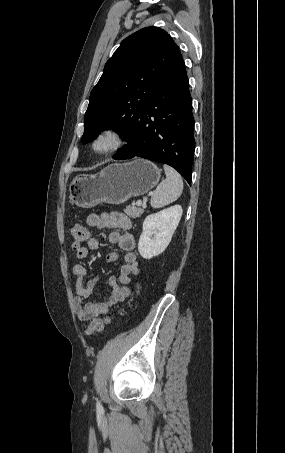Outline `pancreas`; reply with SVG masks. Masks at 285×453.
I'll use <instances>...</instances> for the list:
<instances>
[{
	"instance_id": "cf45deb5",
	"label": "pancreas",
	"mask_w": 285,
	"mask_h": 453,
	"mask_svg": "<svg viewBox=\"0 0 285 453\" xmlns=\"http://www.w3.org/2000/svg\"><path fill=\"white\" fill-rule=\"evenodd\" d=\"M124 212L129 216V217H132V218H137V217H140L141 214H143L144 210L142 208H139V207H135L134 205L132 206H127L126 209L124 210Z\"/></svg>"
}]
</instances>
